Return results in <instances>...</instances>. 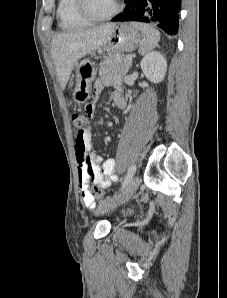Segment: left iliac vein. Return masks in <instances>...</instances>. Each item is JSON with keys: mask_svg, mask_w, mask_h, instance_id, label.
Instances as JSON below:
<instances>
[{"mask_svg": "<svg viewBox=\"0 0 227 298\" xmlns=\"http://www.w3.org/2000/svg\"><path fill=\"white\" fill-rule=\"evenodd\" d=\"M139 184L140 179L135 176L119 194L101 202L95 212L96 215L103 214L128 201L138 189Z\"/></svg>", "mask_w": 227, "mask_h": 298, "instance_id": "left-iliac-vein-1", "label": "left iliac vein"}]
</instances>
